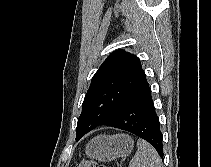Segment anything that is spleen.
<instances>
[{
  "label": "spleen",
  "mask_w": 211,
  "mask_h": 167,
  "mask_svg": "<svg viewBox=\"0 0 211 167\" xmlns=\"http://www.w3.org/2000/svg\"><path fill=\"white\" fill-rule=\"evenodd\" d=\"M138 150L129 163V167H162L157 151L145 140L137 141Z\"/></svg>",
  "instance_id": "obj_1"
}]
</instances>
